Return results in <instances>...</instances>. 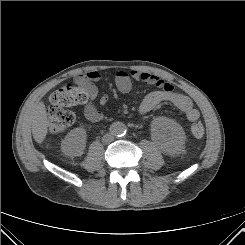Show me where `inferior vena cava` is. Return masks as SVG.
Wrapping results in <instances>:
<instances>
[{
  "instance_id": "1",
  "label": "inferior vena cava",
  "mask_w": 245,
  "mask_h": 245,
  "mask_svg": "<svg viewBox=\"0 0 245 245\" xmlns=\"http://www.w3.org/2000/svg\"><path fill=\"white\" fill-rule=\"evenodd\" d=\"M113 139H114L113 134L108 133V134H105V135L103 136L102 141H103V143H105V144H109V143H111V142L113 141Z\"/></svg>"
}]
</instances>
